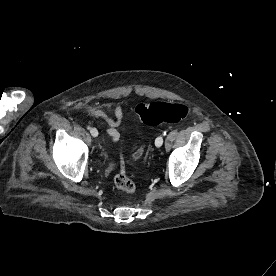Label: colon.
I'll return each mask as SVG.
<instances>
[{"mask_svg":"<svg viewBox=\"0 0 276 276\" xmlns=\"http://www.w3.org/2000/svg\"><path fill=\"white\" fill-rule=\"evenodd\" d=\"M189 112V108L181 103L153 102L150 104H138L135 113L146 125H159L161 123H177L183 120ZM139 155V152L136 153ZM115 185L127 194H134L135 183L121 170L114 178Z\"/></svg>","mask_w":276,"mask_h":276,"instance_id":"5ec220e1","label":"colon"}]
</instances>
